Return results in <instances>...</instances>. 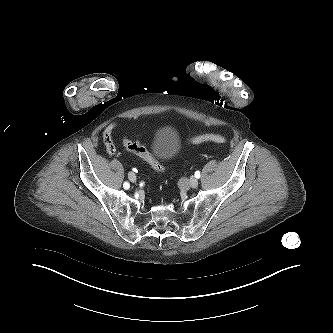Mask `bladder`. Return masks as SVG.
<instances>
[{
	"label": "bladder",
	"mask_w": 333,
	"mask_h": 333,
	"mask_svg": "<svg viewBox=\"0 0 333 333\" xmlns=\"http://www.w3.org/2000/svg\"><path fill=\"white\" fill-rule=\"evenodd\" d=\"M181 141L178 133L170 127L158 129L153 137L151 153L159 162H168L176 157Z\"/></svg>",
	"instance_id": "31cf9c89"
}]
</instances>
